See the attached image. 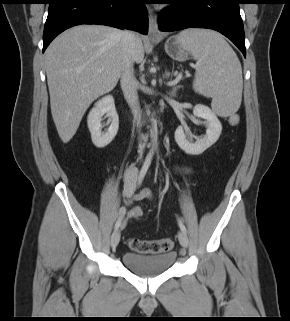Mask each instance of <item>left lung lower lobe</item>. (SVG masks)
Here are the masks:
<instances>
[{"mask_svg":"<svg viewBox=\"0 0 290 321\" xmlns=\"http://www.w3.org/2000/svg\"><path fill=\"white\" fill-rule=\"evenodd\" d=\"M158 19L162 31L208 28L228 37L246 56L245 34L239 12L241 0H170Z\"/></svg>","mask_w":290,"mask_h":321,"instance_id":"0a47b994","label":"left lung lower lobe"}]
</instances>
